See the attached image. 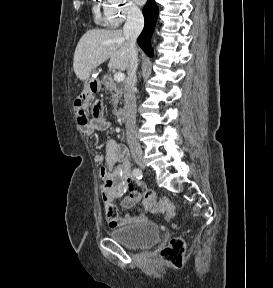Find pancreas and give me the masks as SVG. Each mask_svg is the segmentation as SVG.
<instances>
[{"instance_id":"obj_1","label":"pancreas","mask_w":273,"mask_h":288,"mask_svg":"<svg viewBox=\"0 0 273 288\" xmlns=\"http://www.w3.org/2000/svg\"><path fill=\"white\" fill-rule=\"evenodd\" d=\"M102 83L105 87V90H107L108 94L111 95L112 104L116 108L122 98V86L118 82H115L111 75H104L102 78Z\"/></svg>"}]
</instances>
